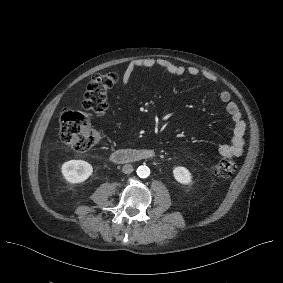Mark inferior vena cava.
<instances>
[{"label":"inferior vena cava","instance_id":"inferior-vena-cava-1","mask_svg":"<svg viewBox=\"0 0 283 283\" xmlns=\"http://www.w3.org/2000/svg\"><path fill=\"white\" fill-rule=\"evenodd\" d=\"M122 172L124 174H131L133 172V166L130 164H126L122 167Z\"/></svg>","mask_w":283,"mask_h":283}]
</instances>
